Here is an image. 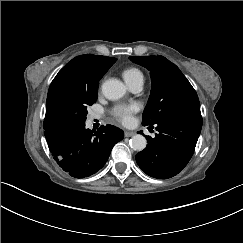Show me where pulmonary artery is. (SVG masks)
Masks as SVG:
<instances>
[{"mask_svg":"<svg viewBox=\"0 0 243 243\" xmlns=\"http://www.w3.org/2000/svg\"><path fill=\"white\" fill-rule=\"evenodd\" d=\"M132 91L139 92L142 89V84H138L135 86L130 87ZM94 119H99L100 117L98 115L93 116Z\"/></svg>","mask_w":243,"mask_h":243,"instance_id":"obj_1","label":"pulmonary artery"}]
</instances>
